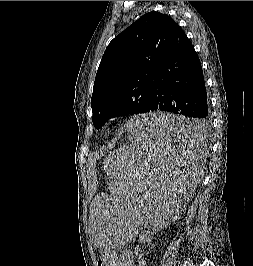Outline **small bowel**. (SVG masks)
Wrapping results in <instances>:
<instances>
[{
    "mask_svg": "<svg viewBox=\"0 0 253 266\" xmlns=\"http://www.w3.org/2000/svg\"><path fill=\"white\" fill-rule=\"evenodd\" d=\"M119 266H149L140 250H123L119 260Z\"/></svg>",
    "mask_w": 253,
    "mask_h": 266,
    "instance_id": "obj_1",
    "label": "small bowel"
}]
</instances>
